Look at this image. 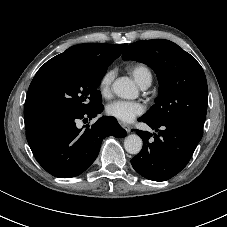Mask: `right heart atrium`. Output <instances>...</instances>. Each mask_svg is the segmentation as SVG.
I'll return each mask as SVG.
<instances>
[{
  "instance_id": "obj_1",
  "label": "right heart atrium",
  "mask_w": 227,
  "mask_h": 227,
  "mask_svg": "<svg viewBox=\"0 0 227 227\" xmlns=\"http://www.w3.org/2000/svg\"><path fill=\"white\" fill-rule=\"evenodd\" d=\"M114 77H115L114 70H107L101 76L98 84V90L103 97H106L110 94Z\"/></svg>"
}]
</instances>
